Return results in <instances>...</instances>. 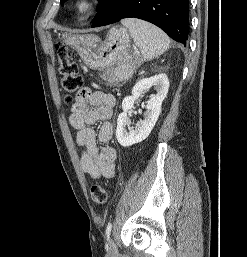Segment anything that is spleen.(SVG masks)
I'll list each match as a JSON object with an SVG mask.
<instances>
[{
    "mask_svg": "<svg viewBox=\"0 0 247 257\" xmlns=\"http://www.w3.org/2000/svg\"><path fill=\"white\" fill-rule=\"evenodd\" d=\"M121 23L129 29L134 43L145 59L156 58L169 48V37L151 23L134 18L123 19Z\"/></svg>",
    "mask_w": 247,
    "mask_h": 257,
    "instance_id": "spleen-1",
    "label": "spleen"
}]
</instances>
